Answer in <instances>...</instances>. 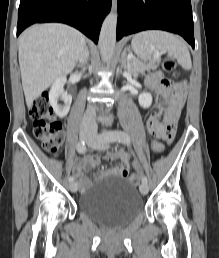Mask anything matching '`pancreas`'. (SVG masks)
<instances>
[{
	"mask_svg": "<svg viewBox=\"0 0 219 258\" xmlns=\"http://www.w3.org/2000/svg\"><path fill=\"white\" fill-rule=\"evenodd\" d=\"M158 62H159V58L154 59L148 64L142 63L136 58H132L128 61L127 68L130 72H132L135 76H137L139 73L155 70L158 67V65L156 64Z\"/></svg>",
	"mask_w": 219,
	"mask_h": 258,
	"instance_id": "1",
	"label": "pancreas"
}]
</instances>
